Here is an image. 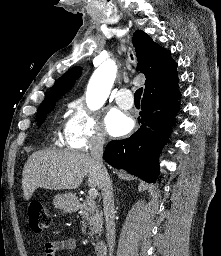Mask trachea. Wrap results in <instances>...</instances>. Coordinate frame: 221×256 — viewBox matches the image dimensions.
Masks as SVG:
<instances>
[{"label": "trachea", "instance_id": "obj_1", "mask_svg": "<svg viewBox=\"0 0 221 256\" xmlns=\"http://www.w3.org/2000/svg\"><path fill=\"white\" fill-rule=\"evenodd\" d=\"M142 92H143V88H139L138 90H136V92L134 94L135 102H139L140 103Z\"/></svg>", "mask_w": 221, "mask_h": 256}]
</instances>
